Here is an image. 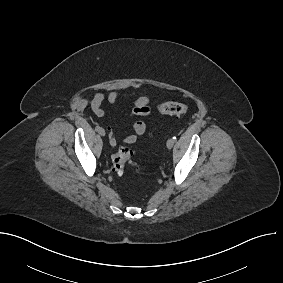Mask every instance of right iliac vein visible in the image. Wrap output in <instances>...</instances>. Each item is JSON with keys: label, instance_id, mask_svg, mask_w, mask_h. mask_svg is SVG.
<instances>
[{"label": "right iliac vein", "instance_id": "obj_1", "mask_svg": "<svg viewBox=\"0 0 283 283\" xmlns=\"http://www.w3.org/2000/svg\"><path fill=\"white\" fill-rule=\"evenodd\" d=\"M99 134H100L101 136H105V130H104V129H101V130L99 131Z\"/></svg>", "mask_w": 283, "mask_h": 283}]
</instances>
